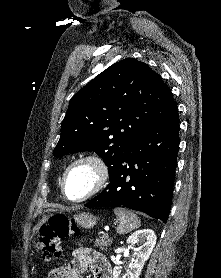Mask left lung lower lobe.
Segmentation results:
<instances>
[{
    "label": "left lung lower lobe",
    "instance_id": "obj_1",
    "mask_svg": "<svg viewBox=\"0 0 221 278\" xmlns=\"http://www.w3.org/2000/svg\"><path fill=\"white\" fill-rule=\"evenodd\" d=\"M178 148L179 117L175 102L124 150L109 174L108 186L85 206L126 207L167 221Z\"/></svg>",
    "mask_w": 221,
    "mask_h": 278
}]
</instances>
